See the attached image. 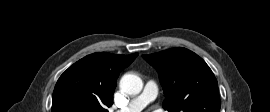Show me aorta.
<instances>
[{"mask_svg": "<svg viewBox=\"0 0 270 112\" xmlns=\"http://www.w3.org/2000/svg\"><path fill=\"white\" fill-rule=\"evenodd\" d=\"M120 88L126 94L137 95L143 88V82L138 75L128 73L121 78Z\"/></svg>", "mask_w": 270, "mask_h": 112, "instance_id": "1", "label": "aorta"}]
</instances>
